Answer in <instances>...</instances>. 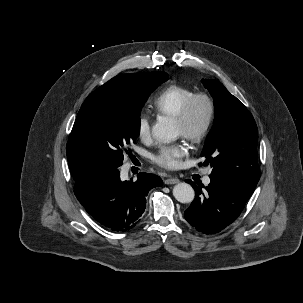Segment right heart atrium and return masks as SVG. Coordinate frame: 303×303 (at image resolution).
<instances>
[{"label": "right heart atrium", "instance_id": "d8ad5b80", "mask_svg": "<svg viewBox=\"0 0 303 303\" xmlns=\"http://www.w3.org/2000/svg\"><path fill=\"white\" fill-rule=\"evenodd\" d=\"M137 134L142 141H148L151 138V122L148 115L142 113L137 120Z\"/></svg>", "mask_w": 303, "mask_h": 303}]
</instances>
